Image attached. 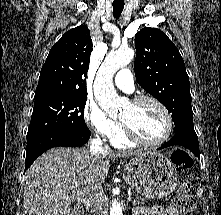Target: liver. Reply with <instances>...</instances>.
<instances>
[{"label":"liver","instance_id":"1","mask_svg":"<svg viewBox=\"0 0 221 215\" xmlns=\"http://www.w3.org/2000/svg\"><path fill=\"white\" fill-rule=\"evenodd\" d=\"M114 152L93 155L85 148H52L25 173L23 215H73L72 196L93 198L101 193L110 159L141 155Z\"/></svg>","mask_w":221,"mask_h":215}]
</instances>
